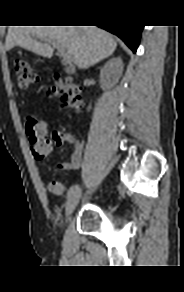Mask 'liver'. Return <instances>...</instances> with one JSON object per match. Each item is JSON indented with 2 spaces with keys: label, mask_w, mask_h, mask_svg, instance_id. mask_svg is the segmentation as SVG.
<instances>
[{
  "label": "liver",
  "mask_w": 184,
  "mask_h": 292,
  "mask_svg": "<svg viewBox=\"0 0 184 292\" xmlns=\"http://www.w3.org/2000/svg\"><path fill=\"white\" fill-rule=\"evenodd\" d=\"M38 39L60 44L81 69L109 57L117 47L113 36L96 26H12L8 29L6 49L20 46L51 58L53 48Z\"/></svg>",
  "instance_id": "1"
}]
</instances>
